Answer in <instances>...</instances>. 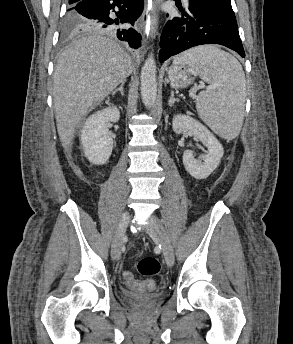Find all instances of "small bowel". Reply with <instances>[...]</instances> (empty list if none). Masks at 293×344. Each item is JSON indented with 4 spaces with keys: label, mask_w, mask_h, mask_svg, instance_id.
I'll return each mask as SVG.
<instances>
[{
    "label": "small bowel",
    "mask_w": 293,
    "mask_h": 344,
    "mask_svg": "<svg viewBox=\"0 0 293 344\" xmlns=\"http://www.w3.org/2000/svg\"><path fill=\"white\" fill-rule=\"evenodd\" d=\"M131 289L136 290V291H143L142 287H133V286H129Z\"/></svg>",
    "instance_id": "1"
}]
</instances>
